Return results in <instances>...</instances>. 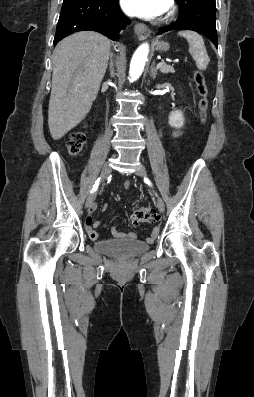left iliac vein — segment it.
<instances>
[{"mask_svg":"<svg viewBox=\"0 0 254 397\" xmlns=\"http://www.w3.org/2000/svg\"><path fill=\"white\" fill-rule=\"evenodd\" d=\"M135 174H136L137 176H141V177L146 176V169H145V167H144L143 165H139V166L137 167L136 171H135ZM157 207H158V210H159L160 212H164V210H165V205H164L163 200H162L160 197H158V200H157Z\"/></svg>","mask_w":254,"mask_h":397,"instance_id":"1","label":"left iliac vein"}]
</instances>
